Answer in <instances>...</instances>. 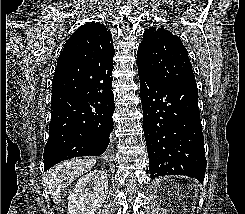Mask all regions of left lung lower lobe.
Here are the masks:
<instances>
[{
	"label": "left lung lower lobe",
	"mask_w": 245,
	"mask_h": 214,
	"mask_svg": "<svg viewBox=\"0 0 245 214\" xmlns=\"http://www.w3.org/2000/svg\"><path fill=\"white\" fill-rule=\"evenodd\" d=\"M139 78L151 178L186 175L203 183L207 162L197 87Z\"/></svg>",
	"instance_id": "left-lung-lower-lobe-1"
}]
</instances>
